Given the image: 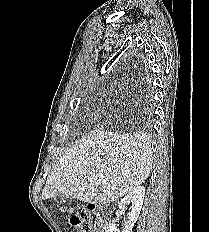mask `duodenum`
Wrapping results in <instances>:
<instances>
[{
  "mask_svg": "<svg viewBox=\"0 0 209 232\" xmlns=\"http://www.w3.org/2000/svg\"><path fill=\"white\" fill-rule=\"evenodd\" d=\"M99 232H105L107 229V223L105 221V218L102 214H99V223L97 224V228Z\"/></svg>",
  "mask_w": 209,
  "mask_h": 232,
  "instance_id": "1",
  "label": "duodenum"
}]
</instances>
